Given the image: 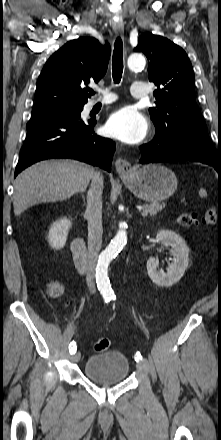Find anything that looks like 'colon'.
<instances>
[{"label": "colon", "instance_id": "5ec220e1", "mask_svg": "<svg viewBox=\"0 0 221 440\" xmlns=\"http://www.w3.org/2000/svg\"><path fill=\"white\" fill-rule=\"evenodd\" d=\"M216 220V214L213 209H208L202 214L197 212H184L181 213L177 222L182 227H194L198 225L210 226L213 225ZM63 292V287L60 283L52 281L47 288V294L50 297H57ZM111 346V340L109 338H99L94 343V350L96 352H104Z\"/></svg>", "mask_w": 221, "mask_h": 440}]
</instances>
